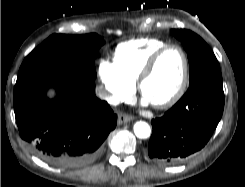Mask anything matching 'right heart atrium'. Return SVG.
Listing matches in <instances>:
<instances>
[{"instance_id":"obj_1","label":"right heart atrium","mask_w":245,"mask_h":187,"mask_svg":"<svg viewBox=\"0 0 245 187\" xmlns=\"http://www.w3.org/2000/svg\"><path fill=\"white\" fill-rule=\"evenodd\" d=\"M98 74L102 85L101 96L109 104H119L132 96L134 84L122 75L114 61L100 58L98 60Z\"/></svg>"}]
</instances>
